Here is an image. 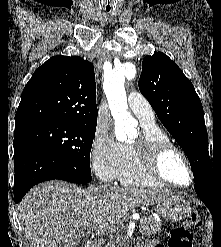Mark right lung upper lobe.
I'll return each mask as SVG.
<instances>
[{"instance_id":"obj_1","label":"right lung upper lobe","mask_w":221,"mask_h":247,"mask_svg":"<svg viewBox=\"0 0 221 247\" xmlns=\"http://www.w3.org/2000/svg\"><path fill=\"white\" fill-rule=\"evenodd\" d=\"M93 64L78 56L47 60L26 84L16 112L15 129L41 123L97 125Z\"/></svg>"}]
</instances>
